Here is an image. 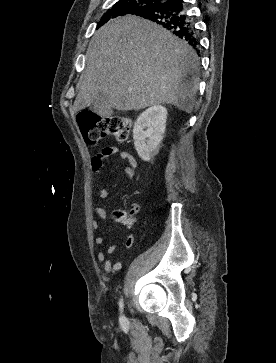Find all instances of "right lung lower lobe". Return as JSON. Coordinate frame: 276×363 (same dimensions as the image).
Returning a JSON list of instances; mask_svg holds the SVG:
<instances>
[{"label": "right lung lower lobe", "instance_id": "right-lung-lower-lobe-1", "mask_svg": "<svg viewBox=\"0 0 276 363\" xmlns=\"http://www.w3.org/2000/svg\"><path fill=\"white\" fill-rule=\"evenodd\" d=\"M135 15L160 24L198 50L199 40L182 0H158L154 6Z\"/></svg>", "mask_w": 276, "mask_h": 363}]
</instances>
